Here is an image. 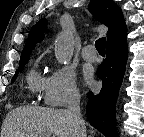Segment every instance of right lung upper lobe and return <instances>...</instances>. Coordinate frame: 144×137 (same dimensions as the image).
<instances>
[{"mask_svg": "<svg viewBox=\"0 0 144 137\" xmlns=\"http://www.w3.org/2000/svg\"><path fill=\"white\" fill-rule=\"evenodd\" d=\"M91 11L99 22L108 27L107 46L118 44L126 39V25L122 10L112 0H91ZM47 30V20L41 19L31 28L27 42L22 51L20 63L27 62L35 45L44 39ZM19 63V64H20Z\"/></svg>", "mask_w": 144, "mask_h": 137, "instance_id": "cb5924a9", "label": "right lung upper lobe"}]
</instances>
